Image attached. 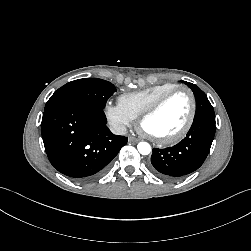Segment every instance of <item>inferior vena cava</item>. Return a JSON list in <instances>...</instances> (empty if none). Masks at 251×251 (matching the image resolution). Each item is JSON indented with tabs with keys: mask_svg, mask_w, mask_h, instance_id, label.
Wrapping results in <instances>:
<instances>
[{
	"mask_svg": "<svg viewBox=\"0 0 251 251\" xmlns=\"http://www.w3.org/2000/svg\"><path fill=\"white\" fill-rule=\"evenodd\" d=\"M110 130L115 135H125L127 133V128L124 125L119 124L111 125Z\"/></svg>",
	"mask_w": 251,
	"mask_h": 251,
	"instance_id": "602c4592",
	"label": "inferior vena cava"
}]
</instances>
